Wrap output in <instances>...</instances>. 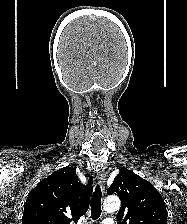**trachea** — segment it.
<instances>
[{
    "instance_id": "1",
    "label": "trachea",
    "mask_w": 187,
    "mask_h": 224,
    "mask_svg": "<svg viewBox=\"0 0 187 224\" xmlns=\"http://www.w3.org/2000/svg\"><path fill=\"white\" fill-rule=\"evenodd\" d=\"M101 197V189L100 186L97 185L91 200V217L93 220H97L101 215Z\"/></svg>"
}]
</instances>
